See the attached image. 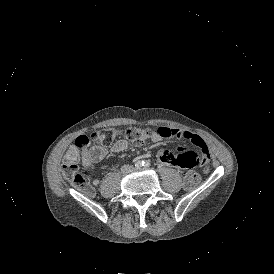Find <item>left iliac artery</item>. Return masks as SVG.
<instances>
[{
	"instance_id": "obj_1",
	"label": "left iliac artery",
	"mask_w": 274,
	"mask_h": 274,
	"mask_svg": "<svg viewBox=\"0 0 274 274\" xmlns=\"http://www.w3.org/2000/svg\"><path fill=\"white\" fill-rule=\"evenodd\" d=\"M151 165L150 161L146 160L143 164V166H145L146 168H149Z\"/></svg>"
}]
</instances>
